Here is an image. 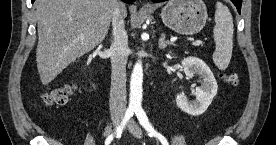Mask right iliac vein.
Listing matches in <instances>:
<instances>
[{
    "instance_id": "1",
    "label": "right iliac vein",
    "mask_w": 276,
    "mask_h": 145,
    "mask_svg": "<svg viewBox=\"0 0 276 145\" xmlns=\"http://www.w3.org/2000/svg\"><path fill=\"white\" fill-rule=\"evenodd\" d=\"M121 119H122V116H120V115H114L112 117V122L116 126V125H118L120 123Z\"/></svg>"
}]
</instances>
